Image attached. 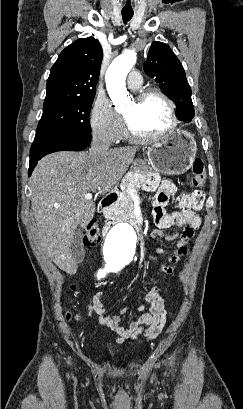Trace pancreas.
<instances>
[{
    "label": "pancreas",
    "mask_w": 243,
    "mask_h": 409,
    "mask_svg": "<svg viewBox=\"0 0 243 409\" xmlns=\"http://www.w3.org/2000/svg\"><path fill=\"white\" fill-rule=\"evenodd\" d=\"M148 177L146 170H130L121 182L122 190L119 192V201L116 205L109 208L104 216L107 220H122L134 218V202L129 193L130 189L136 192L144 188Z\"/></svg>",
    "instance_id": "cf45deb5"
}]
</instances>
